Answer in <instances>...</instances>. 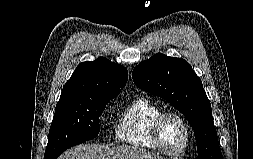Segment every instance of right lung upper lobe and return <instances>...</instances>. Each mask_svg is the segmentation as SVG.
<instances>
[{
    "label": "right lung upper lobe",
    "mask_w": 253,
    "mask_h": 159,
    "mask_svg": "<svg viewBox=\"0 0 253 159\" xmlns=\"http://www.w3.org/2000/svg\"><path fill=\"white\" fill-rule=\"evenodd\" d=\"M128 79L127 69L100 57L80 63L63 87L59 100L76 97H116Z\"/></svg>",
    "instance_id": "1"
}]
</instances>
